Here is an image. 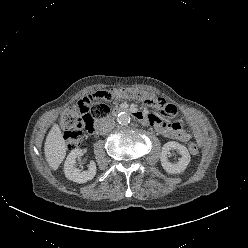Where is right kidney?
<instances>
[{"label": "right kidney", "instance_id": "1", "mask_svg": "<svg viewBox=\"0 0 248 248\" xmlns=\"http://www.w3.org/2000/svg\"><path fill=\"white\" fill-rule=\"evenodd\" d=\"M83 150L76 148L73 149L67 156L64 163V173L66 178L76 183H86L92 180L96 175V164L91 161L87 171H81L75 167L76 159L83 155Z\"/></svg>", "mask_w": 248, "mask_h": 248}]
</instances>
